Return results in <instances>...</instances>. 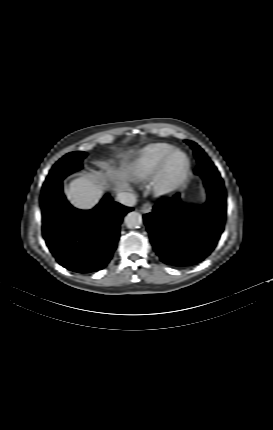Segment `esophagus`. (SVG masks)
<instances>
[{"label": "esophagus", "instance_id": "1", "mask_svg": "<svg viewBox=\"0 0 273 430\" xmlns=\"http://www.w3.org/2000/svg\"><path fill=\"white\" fill-rule=\"evenodd\" d=\"M151 210H152V205L149 202L144 203L140 208V211L144 214L150 213Z\"/></svg>", "mask_w": 273, "mask_h": 430}]
</instances>
